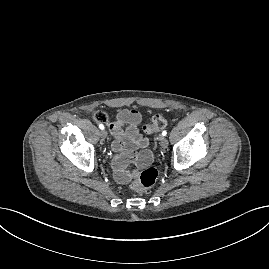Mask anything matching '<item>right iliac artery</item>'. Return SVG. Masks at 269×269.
Instances as JSON below:
<instances>
[{
  "mask_svg": "<svg viewBox=\"0 0 269 269\" xmlns=\"http://www.w3.org/2000/svg\"><path fill=\"white\" fill-rule=\"evenodd\" d=\"M99 128H100L101 130H104V125H103V124H99Z\"/></svg>",
  "mask_w": 269,
  "mask_h": 269,
  "instance_id": "right-iliac-artery-1",
  "label": "right iliac artery"
}]
</instances>
